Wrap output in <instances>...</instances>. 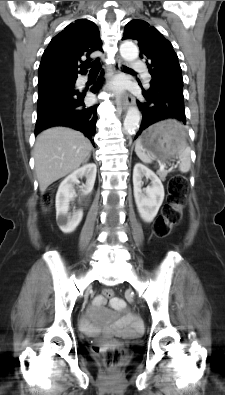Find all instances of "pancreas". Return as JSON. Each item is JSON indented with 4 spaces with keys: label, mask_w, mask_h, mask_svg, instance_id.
Instances as JSON below:
<instances>
[{
    "label": "pancreas",
    "mask_w": 225,
    "mask_h": 395,
    "mask_svg": "<svg viewBox=\"0 0 225 395\" xmlns=\"http://www.w3.org/2000/svg\"><path fill=\"white\" fill-rule=\"evenodd\" d=\"M158 174H159V176H160V178L162 180H165V178L167 176V172L166 171H160V172H158Z\"/></svg>",
    "instance_id": "1"
}]
</instances>
